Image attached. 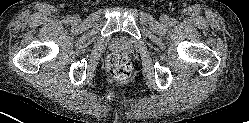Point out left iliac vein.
<instances>
[{
    "mask_svg": "<svg viewBox=\"0 0 249 123\" xmlns=\"http://www.w3.org/2000/svg\"><path fill=\"white\" fill-rule=\"evenodd\" d=\"M160 20H161V22H162L163 24H167L168 21H169V18H168L167 15H162V16L160 17Z\"/></svg>",
    "mask_w": 249,
    "mask_h": 123,
    "instance_id": "left-iliac-vein-1",
    "label": "left iliac vein"
}]
</instances>
